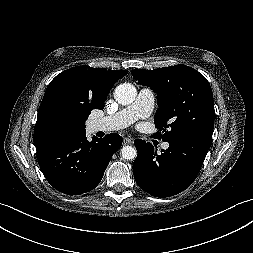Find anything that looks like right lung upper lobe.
<instances>
[{
	"instance_id": "cb5924a9",
	"label": "right lung upper lobe",
	"mask_w": 253,
	"mask_h": 253,
	"mask_svg": "<svg viewBox=\"0 0 253 253\" xmlns=\"http://www.w3.org/2000/svg\"><path fill=\"white\" fill-rule=\"evenodd\" d=\"M127 73L126 70L77 66L58 74L48 85L39 107L33 135L34 144L52 136L44 126L45 111L50 102L59 100L72 105L88 104L93 109H103L110 89ZM83 133L86 132L80 130L72 135Z\"/></svg>"
}]
</instances>
